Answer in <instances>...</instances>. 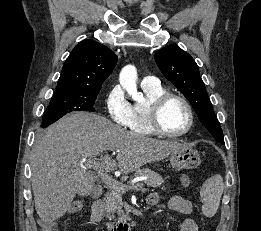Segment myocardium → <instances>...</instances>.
<instances>
[{
  "mask_svg": "<svg viewBox=\"0 0 261 231\" xmlns=\"http://www.w3.org/2000/svg\"><path fill=\"white\" fill-rule=\"evenodd\" d=\"M178 99L180 100L188 114V124L185 129L180 132H168L166 131L162 125L160 120V114L163 106L170 100V99ZM148 120L151 128L154 130L156 134L167 136V137H181L187 134L194 125V111L190 104V102L182 95L173 92H165L159 97H157L150 105L148 111Z\"/></svg>",
  "mask_w": 261,
  "mask_h": 231,
  "instance_id": "f54148a6",
  "label": "myocardium"
}]
</instances>
